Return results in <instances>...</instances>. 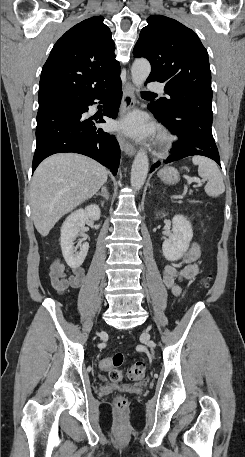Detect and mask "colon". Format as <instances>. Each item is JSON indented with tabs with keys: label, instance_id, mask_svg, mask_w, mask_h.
Listing matches in <instances>:
<instances>
[{
	"label": "colon",
	"instance_id": "colon-1",
	"mask_svg": "<svg viewBox=\"0 0 245 457\" xmlns=\"http://www.w3.org/2000/svg\"><path fill=\"white\" fill-rule=\"evenodd\" d=\"M124 356L121 353H116L107 357L100 362V368L109 372V377L113 382H119L123 379V372L118 368L123 364ZM145 374V364L136 362L132 364L127 372L131 380H140ZM114 405L118 410H124L127 406V400L123 396H117L114 400Z\"/></svg>",
	"mask_w": 245,
	"mask_h": 457
}]
</instances>
